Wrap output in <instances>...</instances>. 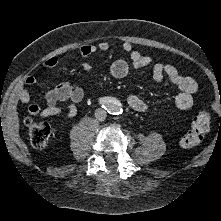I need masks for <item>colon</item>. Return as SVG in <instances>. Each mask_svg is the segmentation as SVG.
Here are the masks:
<instances>
[{
  "label": "colon",
  "mask_w": 221,
  "mask_h": 221,
  "mask_svg": "<svg viewBox=\"0 0 221 221\" xmlns=\"http://www.w3.org/2000/svg\"><path fill=\"white\" fill-rule=\"evenodd\" d=\"M32 146L44 148L48 145L51 128L45 122L36 121L31 117L25 119ZM210 126V115L206 109H202L192 119L189 131L182 137L181 144L184 148H192L198 145Z\"/></svg>",
  "instance_id": "obj_1"
}]
</instances>
